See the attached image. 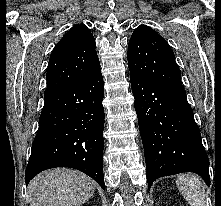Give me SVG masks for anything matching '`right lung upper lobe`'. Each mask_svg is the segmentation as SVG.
Wrapping results in <instances>:
<instances>
[{"mask_svg": "<svg viewBox=\"0 0 221 206\" xmlns=\"http://www.w3.org/2000/svg\"><path fill=\"white\" fill-rule=\"evenodd\" d=\"M100 68L95 39L83 23L72 27L51 53L44 95L62 89Z\"/></svg>", "mask_w": 221, "mask_h": 206, "instance_id": "cb5924a9", "label": "right lung upper lobe"}]
</instances>
